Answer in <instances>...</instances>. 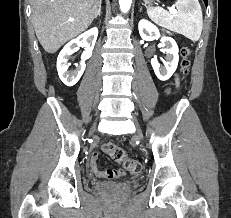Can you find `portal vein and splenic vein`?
<instances>
[{"label":"portal vein and splenic vein","mask_w":231,"mask_h":218,"mask_svg":"<svg viewBox=\"0 0 231 218\" xmlns=\"http://www.w3.org/2000/svg\"><path fill=\"white\" fill-rule=\"evenodd\" d=\"M171 12L175 13L176 10L175 9H170ZM70 21H74L73 19H70Z\"/></svg>","instance_id":"18ae733b"}]
</instances>
